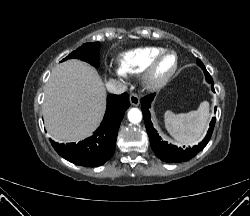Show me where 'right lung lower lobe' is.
Wrapping results in <instances>:
<instances>
[{
  "label": "right lung lower lobe",
  "mask_w": 250,
  "mask_h": 216,
  "mask_svg": "<svg viewBox=\"0 0 250 216\" xmlns=\"http://www.w3.org/2000/svg\"><path fill=\"white\" fill-rule=\"evenodd\" d=\"M130 106L127 93L109 95L107 110L94 135L79 143L58 144L51 140L56 152L66 160L84 167H98L109 160L116 145V138L124 112Z\"/></svg>",
  "instance_id": "98d812e1"
}]
</instances>
